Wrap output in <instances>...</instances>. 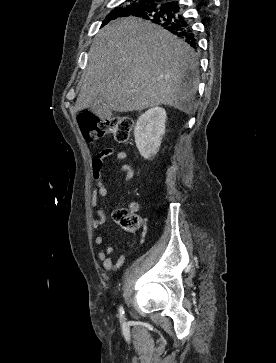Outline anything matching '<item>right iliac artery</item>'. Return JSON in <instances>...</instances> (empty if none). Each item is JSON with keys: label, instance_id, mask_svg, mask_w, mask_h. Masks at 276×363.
Instances as JSON below:
<instances>
[{"label": "right iliac artery", "instance_id": "1", "mask_svg": "<svg viewBox=\"0 0 276 363\" xmlns=\"http://www.w3.org/2000/svg\"><path fill=\"white\" fill-rule=\"evenodd\" d=\"M119 316L121 320L124 319V309L122 305L119 307Z\"/></svg>", "mask_w": 276, "mask_h": 363}]
</instances>
